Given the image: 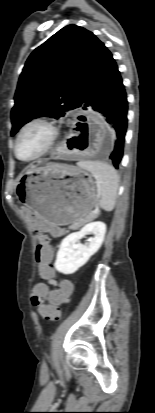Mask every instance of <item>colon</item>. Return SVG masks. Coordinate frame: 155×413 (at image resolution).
<instances>
[{"instance_id":"5ec220e1","label":"colon","mask_w":155,"mask_h":413,"mask_svg":"<svg viewBox=\"0 0 155 413\" xmlns=\"http://www.w3.org/2000/svg\"><path fill=\"white\" fill-rule=\"evenodd\" d=\"M52 253L46 243L44 236L36 250V262L39 265V272L42 278L54 277L56 271L51 265ZM59 290L51 292L47 297L42 298L37 294H32V304L37 306L40 314L47 320H58L61 317L60 305L67 301L72 293L73 282L70 278H57Z\"/></svg>"}]
</instances>
